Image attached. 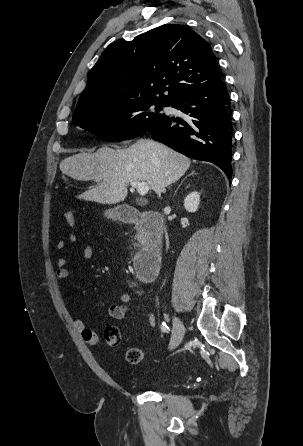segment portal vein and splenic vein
I'll return each instance as SVG.
<instances>
[{
	"instance_id": "obj_1",
	"label": "portal vein and splenic vein",
	"mask_w": 303,
	"mask_h": 446,
	"mask_svg": "<svg viewBox=\"0 0 303 446\" xmlns=\"http://www.w3.org/2000/svg\"><path fill=\"white\" fill-rule=\"evenodd\" d=\"M130 185L133 188H136L140 196L146 195L149 191V185L147 182L131 181Z\"/></svg>"
}]
</instances>
